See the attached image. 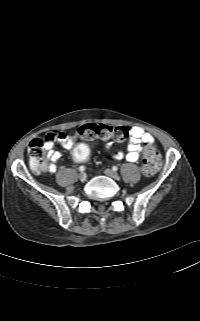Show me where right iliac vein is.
<instances>
[{"instance_id":"63e3f726","label":"right iliac vein","mask_w":200,"mask_h":321,"mask_svg":"<svg viewBox=\"0 0 200 321\" xmlns=\"http://www.w3.org/2000/svg\"><path fill=\"white\" fill-rule=\"evenodd\" d=\"M78 178L80 181H85L87 178V175H86V173L81 172V173H79Z\"/></svg>"}]
</instances>
